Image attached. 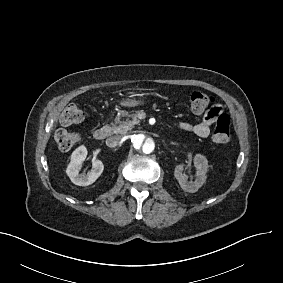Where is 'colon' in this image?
Segmentation results:
<instances>
[{"instance_id":"colon-1","label":"colon","mask_w":283,"mask_h":283,"mask_svg":"<svg viewBox=\"0 0 283 283\" xmlns=\"http://www.w3.org/2000/svg\"><path fill=\"white\" fill-rule=\"evenodd\" d=\"M213 103L215 98L208 93L196 91L191 94L190 106L194 114H202ZM83 111L78 105L70 103L61 112L60 121L62 124L71 125L78 124L83 120ZM230 116L223 121L215 120L213 122L212 140L216 144L225 143L230 135ZM55 141L61 150H70L78 142L79 136L75 132L67 130H58L55 132Z\"/></svg>"}]
</instances>
